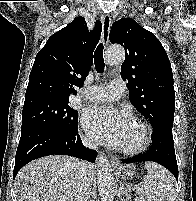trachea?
Masks as SVG:
<instances>
[{"label": "trachea", "mask_w": 196, "mask_h": 201, "mask_svg": "<svg viewBox=\"0 0 196 201\" xmlns=\"http://www.w3.org/2000/svg\"><path fill=\"white\" fill-rule=\"evenodd\" d=\"M94 64L97 72L102 73L104 71L105 63L103 58V45L99 44L94 53Z\"/></svg>", "instance_id": "trachea-1"}]
</instances>
